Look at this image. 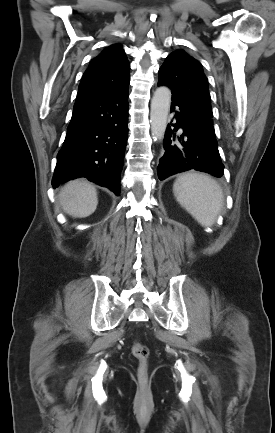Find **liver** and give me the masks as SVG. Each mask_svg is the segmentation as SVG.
<instances>
[{
	"label": "liver",
	"mask_w": 275,
	"mask_h": 433,
	"mask_svg": "<svg viewBox=\"0 0 275 433\" xmlns=\"http://www.w3.org/2000/svg\"><path fill=\"white\" fill-rule=\"evenodd\" d=\"M65 213L74 218H85L96 210L98 204L95 187L83 179L66 183L58 196Z\"/></svg>",
	"instance_id": "liver-1"
}]
</instances>
